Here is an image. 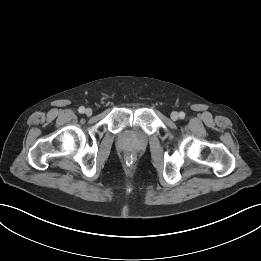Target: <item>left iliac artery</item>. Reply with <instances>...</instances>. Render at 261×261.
I'll list each match as a JSON object with an SVG mask.
<instances>
[{"label": "left iliac artery", "mask_w": 261, "mask_h": 261, "mask_svg": "<svg viewBox=\"0 0 261 261\" xmlns=\"http://www.w3.org/2000/svg\"><path fill=\"white\" fill-rule=\"evenodd\" d=\"M179 117H180L181 119H184V118H185V113H184V112H180V113H179Z\"/></svg>", "instance_id": "44dca946"}]
</instances>
